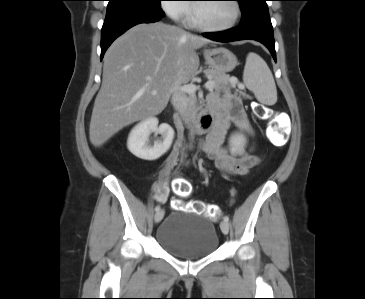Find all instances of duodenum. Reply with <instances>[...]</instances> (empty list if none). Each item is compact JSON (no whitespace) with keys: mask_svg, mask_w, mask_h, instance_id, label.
<instances>
[{"mask_svg":"<svg viewBox=\"0 0 365 299\" xmlns=\"http://www.w3.org/2000/svg\"><path fill=\"white\" fill-rule=\"evenodd\" d=\"M213 127V116L209 111L201 112L200 116L193 124L195 134L205 133Z\"/></svg>","mask_w":365,"mask_h":299,"instance_id":"duodenum-1","label":"duodenum"}]
</instances>
